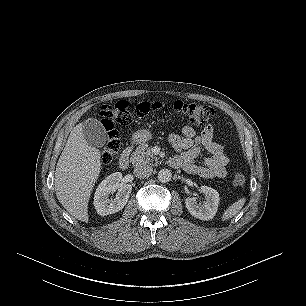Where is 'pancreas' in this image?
Listing matches in <instances>:
<instances>
[{"label": "pancreas", "mask_w": 306, "mask_h": 306, "mask_svg": "<svg viewBox=\"0 0 306 306\" xmlns=\"http://www.w3.org/2000/svg\"><path fill=\"white\" fill-rule=\"evenodd\" d=\"M133 165L153 164L157 158L151 152V147L147 143L140 144L130 158Z\"/></svg>", "instance_id": "obj_1"}]
</instances>
